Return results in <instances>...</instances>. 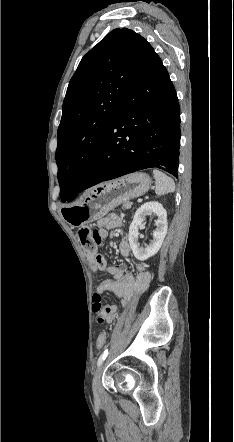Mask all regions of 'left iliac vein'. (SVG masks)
Segmentation results:
<instances>
[{"label": "left iliac vein", "mask_w": 234, "mask_h": 442, "mask_svg": "<svg viewBox=\"0 0 234 442\" xmlns=\"http://www.w3.org/2000/svg\"><path fill=\"white\" fill-rule=\"evenodd\" d=\"M102 372H103V366H100L96 370V372L94 374L93 382H92L93 394H94V398L96 401H101L103 399V391H102V385H101Z\"/></svg>", "instance_id": "4c4485c4"}]
</instances>
